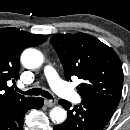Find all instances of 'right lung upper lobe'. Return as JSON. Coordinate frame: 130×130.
I'll return each instance as SVG.
<instances>
[{
    "instance_id": "cb5924a9",
    "label": "right lung upper lobe",
    "mask_w": 130,
    "mask_h": 130,
    "mask_svg": "<svg viewBox=\"0 0 130 130\" xmlns=\"http://www.w3.org/2000/svg\"><path fill=\"white\" fill-rule=\"evenodd\" d=\"M46 40L44 35L31 34L14 27L0 29V106L29 99L16 93L13 86L8 87L7 82L19 79L21 52Z\"/></svg>"
}]
</instances>
